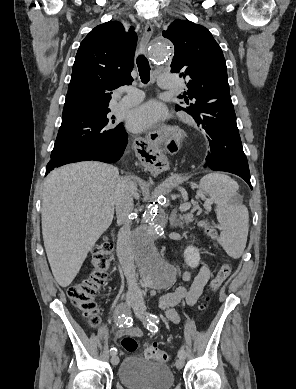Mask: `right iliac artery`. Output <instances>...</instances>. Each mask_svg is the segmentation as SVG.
Here are the masks:
<instances>
[{
  "label": "right iliac artery",
  "mask_w": 296,
  "mask_h": 389,
  "mask_svg": "<svg viewBox=\"0 0 296 389\" xmlns=\"http://www.w3.org/2000/svg\"><path fill=\"white\" fill-rule=\"evenodd\" d=\"M128 308L124 303H121L118 308H117V313L119 314L118 319H117V326L123 327L125 325V314H124V309ZM110 353L112 356L117 354V349L111 348Z\"/></svg>",
  "instance_id": "82829eb1"
}]
</instances>
